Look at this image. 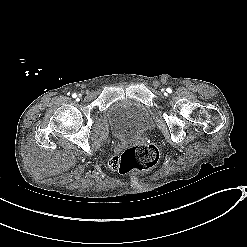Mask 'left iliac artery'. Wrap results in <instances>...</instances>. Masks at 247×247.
Segmentation results:
<instances>
[{"label": "left iliac artery", "mask_w": 247, "mask_h": 247, "mask_svg": "<svg viewBox=\"0 0 247 247\" xmlns=\"http://www.w3.org/2000/svg\"><path fill=\"white\" fill-rule=\"evenodd\" d=\"M167 92H168V93H171L172 90H171L170 88H167Z\"/></svg>", "instance_id": "44dca946"}]
</instances>
